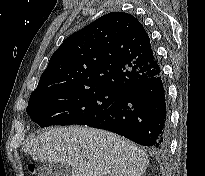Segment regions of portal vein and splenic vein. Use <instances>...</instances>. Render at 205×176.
Returning a JSON list of instances; mask_svg holds the SVG:
<instances>
[{
    "label": "portal vein and splenic vein",
    "instance_id": "portal-vein-and-splenic-vein-1",
    "mask_svg": "<svg viewBox=\"0 0 205 176\" xmlns=\"http://www.w3.org/2000/svg\"><path fill=\"white\" fill-rule=\"evenodd\" d=\"M80 165H81V166H84V165H85V162H84V161H83V162H81V163H80Z\"/></svg>",
    "mask_w": 205,
    "mask_h": 176
}]
</instances>
